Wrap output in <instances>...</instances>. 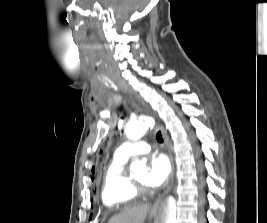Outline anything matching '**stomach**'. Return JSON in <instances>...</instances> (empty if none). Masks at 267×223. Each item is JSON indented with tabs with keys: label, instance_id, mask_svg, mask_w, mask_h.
Wrapping results in <instances>:
<instances>
[{
	"label": "stomach",
	"instance_id": "obj_1",
	"mask_svg": "<svg viewBox=\"0 0 267 223\" xmlns=\"http://www.w3.org/2000/svg\"><path fill=\"white\" fill-rule=\"evenodd\" d=\"M155 215H156L155 212H151V213H150V216H151V217H154Z\"/></svg>",
	"mask_w": 267,
	"mask_h": 223
}]
</instances>
